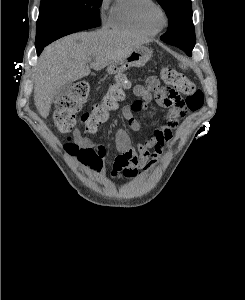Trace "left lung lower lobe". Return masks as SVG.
Masks as SVG:
<instances>
[{
    "instance_id": "obj_1",
    "label": "left lung lower lobe",
    "mask_w": 245,
    "mask_h": 300,
    "mask_svg": "<svg viewBox=\"0 0 245 300\" xmlns=\"http://www.w3.org/2000/svg\"><path fill=\"white\" fill-rule=\"evenodd\" d=\"M187 43H188V41H187ZM177 47L181 48L182 50H184L187 53V55L191 56L192 50H188L186 44H178Z\"/></svg>"
}]
</instances>
